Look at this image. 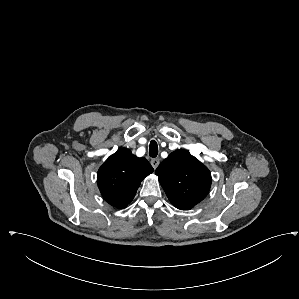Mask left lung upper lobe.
Masks as SVG:
<instances>
[{
  "instance_id": "1",
  "label": "left lung upper lobe",
  "mask_w": 299,
  "mask_h": 299,
  "mask_svg": "<svg viewBox=\"0 0 299 299\" xmlns=\"http://www.w3.org/2000/svg\"><path fill=\"white\" fill-rule=\"evenodd\" d=\"M168 199L178 209L189 210L202 201L211 186V173L198 159L176 150L155 171Z\"/></svg>"
}]
</instances>
